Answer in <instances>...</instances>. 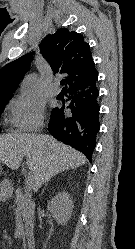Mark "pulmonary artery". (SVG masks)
Segmentation results:
<instances>
[{
  "label": "pulmonary artery",
  "instance_id": "1",
  "mask_svg": "<svg viewBox=\"0 0 135 249\" xmlns=\"http://www.w3.org/2000/svg\"><path fill=\"white\" fill-rule=\"evenodd\" d=\"M50 94L53 95V96H56L60 93V87L57 83H55L54 85H52L50 87V90H49Z\"/></svg>",
  "mask_w": 135,
  "mask_h": 249
}]
</instances>
